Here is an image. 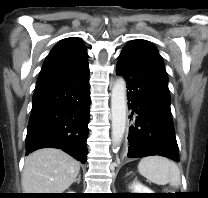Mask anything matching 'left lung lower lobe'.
<instances>
[{
    "label": "left lung lower lobe",
    "mask_w": 208,
    "mask_h": 198,
    "mask_svg": "<svg viewBox=\"0 0 208 198\" xmlns=\"http://www.w3.org/2000/svg\"><path fill=\"white\" fill-rule=\"evenodd\" d=\"M116 73L126 79L128 107L132 110L127 156L160 155L178 162L168 81L146 41L133 40L124 47Z\"/></svg>",
    "instance_id": "0a47b994"
}]
</instances>
